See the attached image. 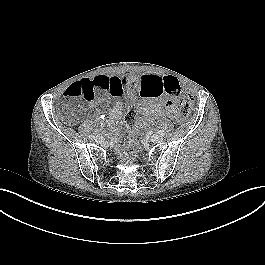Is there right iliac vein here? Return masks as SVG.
Instances as JSON below:
<instances>
[{
	"mask_svg": "<svg viewBox=\"0 0 265 265\" xmlns=\"http://www.w3.org/2000/svg\"><path fill=\"white\" fill-rule=\"evenodd\" d=\"M96 142H101L103 140L102 136L98 135L96 136Z\"/></svg>",
	"mask_w": 265,
	"mask_h": 265,
	"instance_id": "obj_1",
	"label": "right iliac vein"
}]
</instances>
